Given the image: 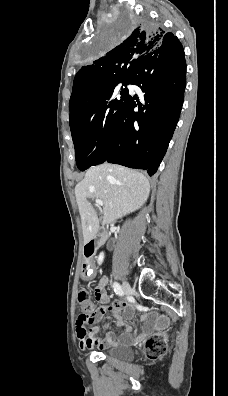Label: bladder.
Wrapping results in <instances>:
<instances>
[{"label":"bladder","instance_id":"31cf9c89","mask_svg":"<svg viewBox=\"0 0 228 396\" xmlns=\"http://www.w3.org/2000/svg\"><path fill=\"white\" fill-rule=\"evenodd\" d=\"M103 352L106 356L119 361H131L135 356L133 348L127 345H116Z\"/></svg>","mask_w":228,"mask_h":396}]
</instances>
